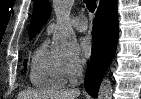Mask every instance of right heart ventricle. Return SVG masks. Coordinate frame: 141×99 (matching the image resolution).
<instances>
[{
  "instance_id": "e07e8e85",
  "label": "right heart ventricle",
  "mask_w": 141,
  "mask_h": 99,
  "mask_svg": "<svg viewBox=\"0 0 141 99\" xmlns=\"http://www.w3.org/2000/svg\"><path fill=\"white\" fill-rule=\"evenodd\" d=\"M64 60L49 49L48 40H44L35 50L30 67L31 83L40 89H58L64 86Z\"/></svg>"
}]
</instances>
